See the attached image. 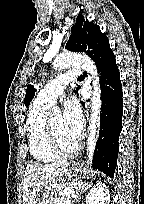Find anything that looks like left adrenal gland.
<instances>
[{"label": "left adrenal gland", "mask_w": 144, "mask_h": 204, "mask_svg": "<svg viewBox=\"0 0 144 204\" xmlns=\"http://www.w3.org/2000/svg\"><path fill=\"white\" fill-rule=\"evenodd\" d=\"M90 185L87 186H83L79 188V191L76 193L75 195V201H78V199H80V194L83 193Z\"/></svg>", "instance_id": "left-adrenal-gland-1"}]
</instances>
